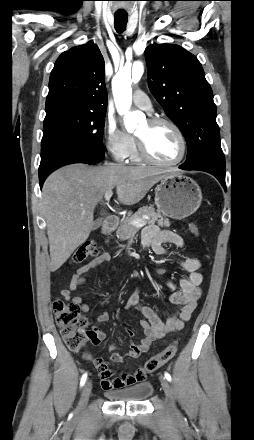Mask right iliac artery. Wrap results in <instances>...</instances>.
Masks as SVG:
<instances>
[{"label":"right iliac artery","instance_id":"right-iliac-artery-1","mask_svg":"<svg viewBox=\"0 0 254 440\" xmlns=\"http://www.w3.org/2000/svg\"><path fill=\"white\" fill-rule=\"evenodd\" d=\"M86 379H87V374L85 373V374L82 376L81 381H80V386H81V387L85 384Z\"/></svg>","mask_w":254,"mask_h":440}]
</instances>
